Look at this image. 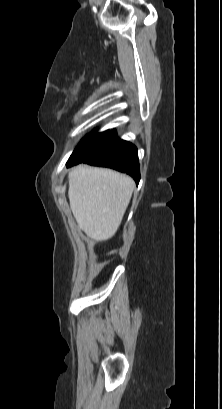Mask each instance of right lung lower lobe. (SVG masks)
<instances>
[{"label": "right lung lower lobe", "instance_id": "1", "mask_svg": "<svg viewBox=\"0 0 222 409\" xmlns=\"http://www.w3.org/2000/svg\"><path fill=\"white\" fill-rule=\"evenodd\" d=\"M79 163L102 166L127 173L134 178L136 183L140 180L139 161L136 147L117 137L112 131L104 146L94 155L78 163H67V167Z\"/></svg>", "mask_w": 222, "mask_h": 409}]
</instances>
